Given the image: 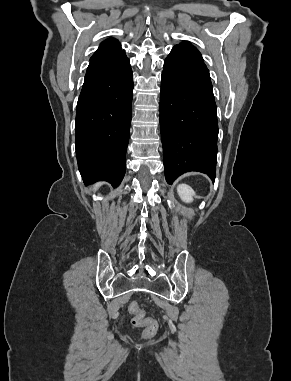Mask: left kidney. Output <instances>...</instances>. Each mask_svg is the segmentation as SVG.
<instances>
[{
	"label": "left kidney",
	"instance_id": "5707ae66",
	"mask_svg": "<svg viewBox=\"0 0 291 381\" xmlns=\"http://www.w3.org/2000/svg\"><path fill=\"white\" fill-rule=\"evenodd\" d=\"M177 192H178V195L180 196L181 200L186 202V203L192 202L193 196H195L194 190L186 184H179L177 186Z\"/></svg>",
	"mask_w": 291,
	"mask_h": 381
}]
</instances>
